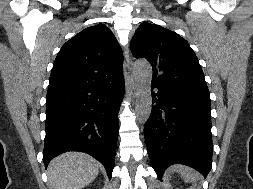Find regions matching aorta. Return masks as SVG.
<instances>
[{"label": "aorta", "instance_id": "obj_1", "mask_svg": "<svg viewBox=\"0 0 253 189\" xmlns=\"http://www.w3.org/2000/svg\"><path fill=\"white\" fill-rule=\"evenodd\" d=\"M133 73L137 82V93L135 103V113L140 124H144L151 113V80L152 67L146 60H137L133 66Z\"/></svg>", "mask_w": 253, "mask_h": 189}]
</instances>
